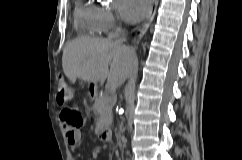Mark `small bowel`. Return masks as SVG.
<instances>
[{"mask_svg": "<svg viewBox=\"0 0 242 160\" xmlns=\"http://www.w3.org/2000/svg\"><path fill=\"white\" fill-rule=\"evenodd\" d=\"M63 112V111H62ZM61 119L64 121V130L67 141L70 145H75L80 141L81 134L77 128L72 127L61 113Z\"/></svg>", "mask_w": 242, "mask_h": 160, "instance_id": "c3829d8e", "label": "small bowel"}]
</instances>
